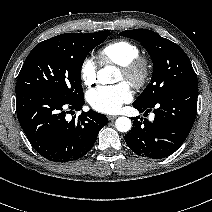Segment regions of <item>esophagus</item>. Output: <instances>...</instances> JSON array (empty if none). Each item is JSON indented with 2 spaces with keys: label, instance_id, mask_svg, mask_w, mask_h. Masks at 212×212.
Listing matches in <instances>:
<instances>
[{
  "label": "esophagus",
  "instance_id": "1",
  "mask_svg": "<svg viewBox=\"0 0 212 212\" xmlns=\"http://www.w3.org/2000/svg\"><path fill=\"white\" fill-rule=\"evenodd\" d=\"M116 118H117V116H114V115H113V116H111V115L108 116V119H109L110 121H113V120H115Z\"/></svg>",
  "mask_w": 212,
  "mask_h": 212
}]
</instances>
